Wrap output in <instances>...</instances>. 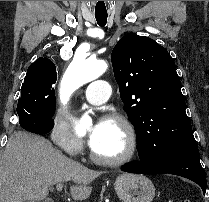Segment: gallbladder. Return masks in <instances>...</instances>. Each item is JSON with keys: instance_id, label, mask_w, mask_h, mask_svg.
Listing matches in <instances>:
<instances>
[{"instance_id": "gallbladder-1", "label": "gallbladder", "mask_w": 209, "mask_h": 202, "mask_svg": "<svg viewBox=\"0 0 209 202\" xmlns=\"http://www.w3.org/2000/svg\"><path fill=\"white\" fill-rule=\"evenodd\" d=\"M29 202H53V201L52 199L47 198V199H44L43 201H29Z\"/></svg>"}]
</instances>
